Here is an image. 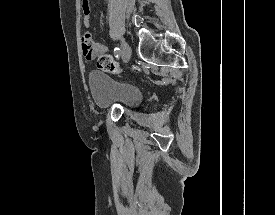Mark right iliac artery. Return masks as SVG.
<instances>
[{
    "label": "right iliac artery",
    "instance_id": "obj_1",
    "mask_svg": "<svg viewBox=\"0 0 275 215\" xmlns=\"http://www.w3.org/2000/svg\"><path fill=\"white\" fill-rule=\"evenodd\" d=\"M114 55H115L116 58H119V56H120V49L118 47H116L114 49Z\"/></svg>",
    "mask_w": 275,
    "mask_h": 215
}]
</instances>
